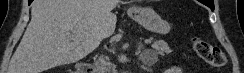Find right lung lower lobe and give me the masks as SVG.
Returning <instances> with one entry per match:
<instances>
[{"label":"right lung lower lobe","mask_w":244,"mask_h":73,"mask_svg":"<svg viewBox=\"0 0 244 73\" xmlns=\"http://www.w3.org/2000/svg\"><path fill=\"white\" fill-rule=\"evenodd\" d=\"M33 0H29V4L32 2Z\"/></svg>","instance_id":"1"}]
</instances>
